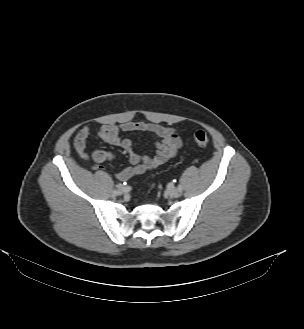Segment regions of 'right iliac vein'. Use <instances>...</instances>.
<instances>
[{
  "instance_id": "1",
  "label": "right iliac vein",
  "mask_w": 304,
  "mask_h": 329,
  "mask_svg": "<svg viewBox=\"0 0 304 329\" xmlns=\"http://www.w3.org/2000/svg\"><path fill=\"white\" fill-rule=\"evenodd\" d=\"M117 191H118V194L121 195V194H124L126 192V188L123 185L119 184Z\"/></svg>"
}]
</instances>
